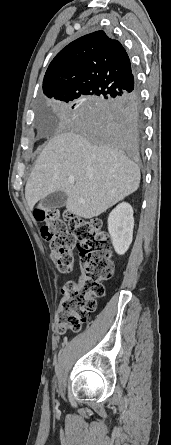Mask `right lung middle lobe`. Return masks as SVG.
<instances>
[{"label":"right lung middle lobe","instance_id":"obj_1","mask_svg":"<svg viewBox=\"0 0 171 445\" xmlns=\"http://www.w3.org/2000/svg\"><path fill=\"white\" fill-rule=\"evenodd\" d=\"M103 99L104 96L95 92H75L62 97L59 100L65 103H74L72 108L77 105V101H80L78 104L80 105V108H82V112L79 114L78 118L85 123H91L93 111L99 106Z\"/></svg>","mask_w":171,"mask_h":445}]
</instances>
